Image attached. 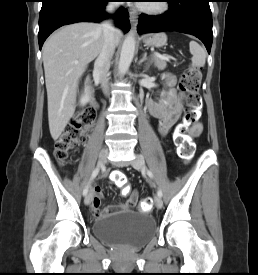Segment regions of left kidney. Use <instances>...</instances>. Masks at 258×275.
Returning a JSON list of instances; mask_svg holds the SVG:
<instances>
[{
	"instance_id": "5707ae66",
	"label": "left kidney",
	"mask_w": 258,
	"mask_h": 275,
	"mask_svg": "<svg viewBox=\"0 0 258 275\" xmlns=\"http://www.w3.org/2000/svg\"><path fill=\"white\" fill-rule=\"evenodd\" d=\"M164 95H165V92L162 93V97H164Z\"/></svg>"
}]
</instances>
